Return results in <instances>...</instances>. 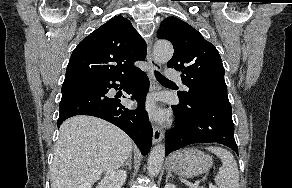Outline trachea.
<instances>
[{
	"mask_svg": "<svg viewBox=\"0 0 292 188\" xmlns=\"http://www.w3.org/2000/svg\"><path fill=\"white\" fill-rule=\"evenodd\" d=\"M155 77L159 82L173 83L172 81L164 77L162 74H160L158 71H155Z\"/></svg>",
	"mask_w": 292,
	"mask_h": 188,
	"instance_id": "3493384b",
	"label": "trachea"
}]
</instances>
